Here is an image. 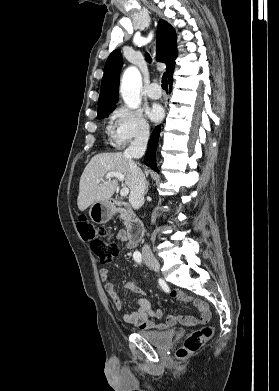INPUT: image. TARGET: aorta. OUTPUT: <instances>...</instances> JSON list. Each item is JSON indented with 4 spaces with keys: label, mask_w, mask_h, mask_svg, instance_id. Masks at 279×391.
<instances>
[{
    "label": "aorta",
    "mask_w": 279,
    "mask_h": 391,
    "mask_svg": "<svg viewBox=\"0 0 279 391\" xmlns=\"http://www.w3.org/2000/svg\"><path fill=\"white\" fill-rule=\"evenodd\" d=\"M142 78L139 70L135 66L128 67L122 76L120 93L130 109H137L141 104L140 89Z\"/></svg>",
    "instance_id": "1"
}]
</instances>
